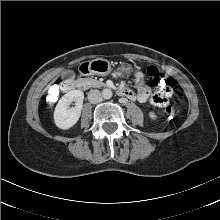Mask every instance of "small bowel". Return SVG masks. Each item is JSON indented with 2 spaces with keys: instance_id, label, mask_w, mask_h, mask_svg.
Returning a JSON list of instances; mask_svg holds the SVG:
<instances>
[{
  "instance_id": "small-bowel-1",
  "label": "small bowel",
  "mask_w": 220,
  "mask_h": 220,
  "mask_svg": "<svg viewBox=\"0 0 220 220\" xmlns=\"http://www.w3.org/2000/svg\"><path fill=\"white\" fill-rule=\"evenodd\" d=\"M111 74L114 77L129 75L130 77L135 78L136 92L129 88L125 89L129 93V96L127 98H129L130 100H137L141 103L150 101L154 105H157L154 101L156 96H160L164 99H169L173 94L171 86L167 83L165 88L159 90L157 93L152 95L151 90L143 81L142 69L138 64H120L118 66H114L111 69Z\"/></svg>"
}]
</instances>
